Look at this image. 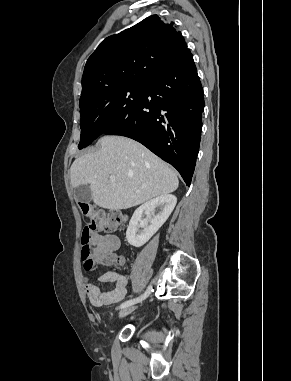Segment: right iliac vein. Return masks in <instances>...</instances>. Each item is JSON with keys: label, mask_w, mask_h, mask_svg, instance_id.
Segmentation results:
<instances>
[{"label": "right iliac vein", "mask_w": 291, "mask_h": 381, "mask_svg": "<svg viewBox=\"0 0 291 381\" xmlns=\"http://www.w3.org/2000/svg\"><path fill=\"white\" fill-rule=\"evenodd\" d=\"M136 308H137V305H130V306H127V307L123 308V309L119 312V318H123V317L129 315V314L132 313Z\"/></svg>", "instance_id": "obj_1"}]
</instances>
